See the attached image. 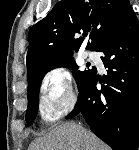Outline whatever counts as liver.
Listing matches in <instances>:
<instances>
[{
    "label": "liver",
    "mask_w": 139,
    "mask_h": 150,
    "mask_svg": "<svg viewBox=\"0 0 139 150\" xmlns=\"http://www.w3.org/2000/svg\"><path fill=\"white\" fill-rule=\"evenodd\" d=\"M29 150H109V148L84 127L64 123L37 138Z\"/></svg>",
    "instance_id": "1"
}]
</instances>
